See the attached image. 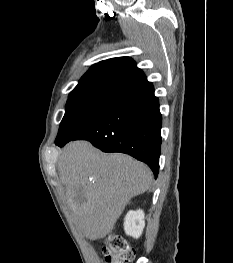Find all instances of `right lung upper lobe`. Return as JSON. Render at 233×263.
<instances>
[{
  "label": "right lung upper lobe",
  "instance_id": "cb5924a9",
  "mask_svg": "<svg viewBox=\"0 0 233 263\" xmlns=\"http://www.w3.org/2000/svg\"><path fill=\"white\" fill-rule=\"evenodd\" d=\"M145 82V74L131 58H111L94 64L70 95L98 93L118 96Z\"/></svg>",
  "mask_w": 233,
  "mask_h": 263
}]
</instances>
